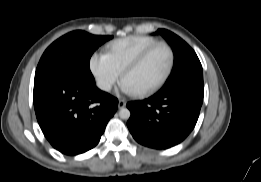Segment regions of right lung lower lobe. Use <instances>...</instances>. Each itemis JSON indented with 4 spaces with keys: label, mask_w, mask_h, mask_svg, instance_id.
<instances>
[{
    "label": "right lung lower lobe",
    "mask_w": 261,
    "mask_h": 182,
    "mask_svg": "<svg viewBox=\"0 0 261 182\" xmlns=\"http://www.w3.org/2000/svg\"><path fill=\"white\" fill-rule=\"evenodd\" d=\"M33 99L43 134L66 155L95 147L118 106L115 97L95 85L82 84L66 71L36 79Z\"/></svg>",
    "instance_id": "98d812e1"
}]
</instances>
